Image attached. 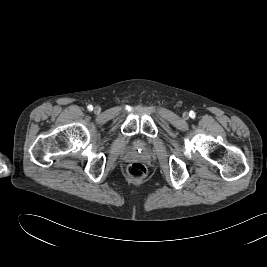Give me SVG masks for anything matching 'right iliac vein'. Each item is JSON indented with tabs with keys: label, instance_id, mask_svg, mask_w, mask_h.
<instances>
[{
	"label": "right iliac vein",
	"instance_id": "1",
	"mask_svg": "<svg viewBox=\"0 0 267 267\" xmlns=\"http://www.w3.org/2000/svg\"><path fill=\"white\" fill-rule=\"evenodd\" d=\"M101 111V108L99 107V106H96L95 108H94V112L95 113H99Z\"/></svg>",
	"mask_w": 267,
	"mask_h": 267
}]
</instances>
